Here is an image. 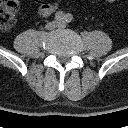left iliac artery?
I'll list each match as a JSON object with an SVG mask.
<instances>
[{
  "mask_svg": "<svg viewBox=\"0 0 128 128\" xmlns=\"http://www.w3.org/2000/svg\"><path fill=\"white\" fill-rule=\"evenodd\" d=\"M65 21H66L67 23L72 22V21H73V16H72L71 14H67V15L65 16Z\"/></svg>",
  "mask_w": 128,
  "mask_h": 128,
  "instance_id": "left-iliac-artery-1",
  "label": "left iliac artery"
}]
</instances>
